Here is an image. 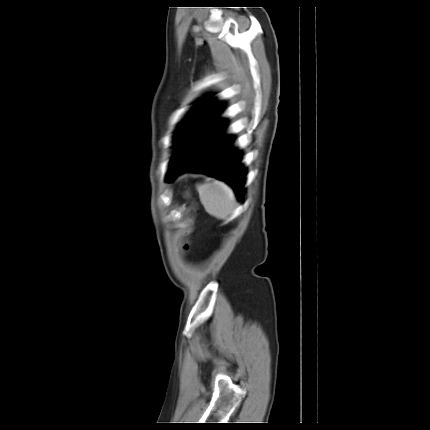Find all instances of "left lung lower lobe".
<instances>
[{
    "mask_svg": "<svg viewBox=\"0 0 430 430\" xmlns=\"http://www.w3.org/2000/svg\"><path fill=\"white\" fill-rule=\"evenodd\" d=\"M224 129L223 121L217 118L201 121L174 153L167 180L172 181L184 171L203 172L231 184L238 199H242L246 171L241 154L232 147L233 140L224 134Z\"/></svg>",
    "mask_w": 430,
    "mask_h": 430,
    "instance_id": "left-lung-lower-lobe-1",
    "label": "left lung lower lobe"
}]
</instances>
